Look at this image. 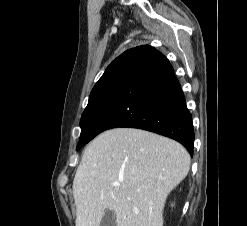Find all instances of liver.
Here are the masks:
<instances>
[{"label": "liver", "instance_id": "liver-1", "mask_svg": "<svg viewBox=\"0 0 247 226\" xmlns=\"http://www.w3.org/2000/svg\"><path fill=\"white\" fill-rule=\"evenodd\" d=\"M189 169V153L174 140L132 128L103 132L74 177L76 226H100L106 210L117 226H163L165 201Z\"/></svg>", "mask_w": 247, "mask_h": 226}]
</instances>
